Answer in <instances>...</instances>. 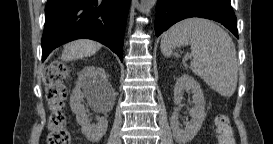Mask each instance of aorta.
<instances>
[{
    "label": "aorta",
    "mask_w": 273,
    "mask_h": 144,
    "mask_svg": "<svg viewBox=\"0 0 273 144\" xmlns=\"http://www.w3.org/2000/svg\"><path fill=\"white\" fill-rule=\"evenodd\" d=\"M156 4V0H141L140 7L142 11H150L154 5Z\"/></svg>",
    "instance_id": "762f6f07"
}]
</instances>
